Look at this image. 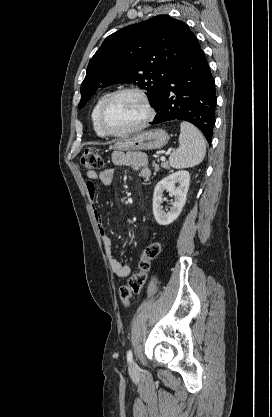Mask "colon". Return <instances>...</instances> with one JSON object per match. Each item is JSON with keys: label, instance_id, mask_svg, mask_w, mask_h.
Segmentation results:
<instances>
[{"label": "colon", "instance_id": "1", "mask_svg": "<svg viewBox=\"0 0 272 417\" xmlns=\"http://www.w3.org/2000/svg\"><path fill=\"white\" fill-rule=\"evenodd\" d=\"M81 164L86 169H101L104 161L96 148L88 147L83 152ZM163 248L161 242H153L144 250L139 261V272L132 274L127 282L119 289V298L122 305L127 308L134 295L141 292L150 271V262L157 257Z\"/></svg>", "mask_w": 272, "mask_h": 417}]
</instances>
